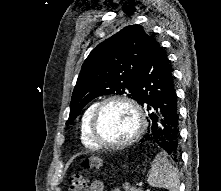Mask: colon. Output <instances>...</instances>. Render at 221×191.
Wrapping results in <instances>:
<instances>
[{
	"mask_svg": "<svg viewBox=\"0 0 221 191\" xmlns=\"http://www.w3.org/2000/svg\"><path fill=\"white\" fill-rule=\"evenodd\" d=\"M100 165V161L97 158L85 159L82 166L85 169H96ZM69 191H89V184L86 177L82 174H76L72 177Z\"/></svg>",
	"mask_w": 221,
	"mask_h": 191,
	"instance_id": "5ec220e1",
	"label": "colon"
}]
</instances>
